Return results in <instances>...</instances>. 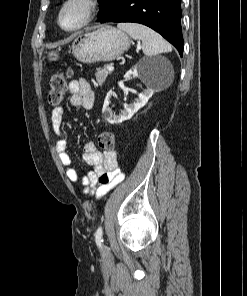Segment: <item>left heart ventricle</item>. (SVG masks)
<instances>
[{
  "label": "left heart ventricle",
  "mask_w": 247,
  "mask_h": 296,
  "mask_svg": "<svg viewBox=\"0 0 247 296\" xmlns=\"http://www.w3.org/2000/svg\"><path fill=\"white\" fill-rule=\"evenodd\" d=\"M83 9L80 6L74 5L68 8L63 15V25L72 27L76 25L82 18Z\"/></svg>",
  "instance_id": "b2bd125f"
}]
</instances>
